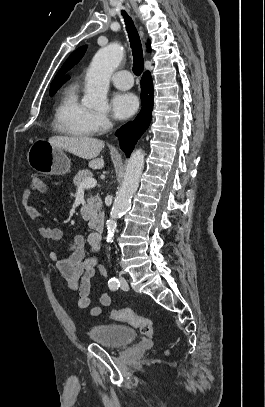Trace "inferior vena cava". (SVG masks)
Wrapping results in <instances>:
<instances>
[{
	"mask_svg": "<svg viewBox=\"0 0 265 407\" xmlns=\"http://www.w3.org/2000/svg\"><path fill=\"white\" fill-rule=\"evenodd\" d=\"M110 126H112V124L110 122H108Z\"/></svg>",
	"mask_w": 265,
	"mask_h": 407,
	"instance_id": "obj_1",
	"label": "inferior vena cava"
}]
</instances>
